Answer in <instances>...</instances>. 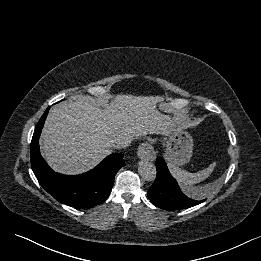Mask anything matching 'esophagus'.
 <instances>
[{
  "label": "esophagus",
  "instance_id": "esophagus-1",
  "mask_svg": "<svg viewBox=\"0 0 261 261\" xmlns=\"http://www.w3.org/2000/svg\"><path fill=\"white\" fill-rule=\"evenodd\" d=\"M137 155L140 159L153 161L156 158V152L150 142L142 143L137 149Z\"/></svg>",
  "mask_w": 261,
  "mask_h": 261
}]
</instances>
